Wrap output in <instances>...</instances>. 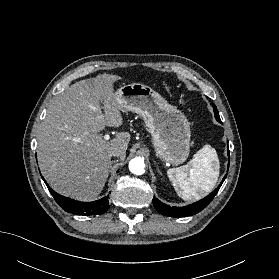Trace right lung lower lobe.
<instances>
[{
	"mask_svg": "<svg viewBox=\"0 0 279 279\" xmlns=\"http://www.w3.org/2000/svg\"><path fill=\"white\" fill-rule=\"evenodd\" d=\"M45 184L47 185L50 193L54 197L55 201L58 203L59 206L63 210L69 213L77 214V215H96L102 214L107 211L109 208L108 196L93 202H80L75 201L73 199L64 197L54 190H52L48 184L46 183L45 179L42 177Z\"/></svg>",
	"mask_w": 279,
	"mask_h": 279,
	"instance_id": "right-lung-lower-lobe-1",
	"label": "right lung lower lobe"
}]
</instances>
